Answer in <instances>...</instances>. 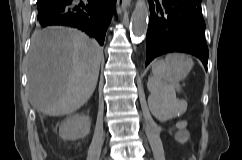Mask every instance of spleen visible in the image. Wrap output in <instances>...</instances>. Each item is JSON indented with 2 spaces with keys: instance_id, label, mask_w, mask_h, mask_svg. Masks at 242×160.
<instances>
[{
  "instance_id": "3e777b00",
  "label": "spleen",
  "mask_w": 242,
  "mask_h": 160,
  "mask_svg": "<svg viewBox=\"0 0 242 160\" xmlns=\"http://www.w3.org/2000/svg\"><path fill=\"white\" fill-rule=\"evenodd\" d=\"M182 54H170L165 60H159L152 66L153 77L148 81L149 90L157 96V101L169 110L176 112L175 89L179 88ZM192 62V60H191ZM193 64V62H192Z\"/></svg>"
}]
</instances>
